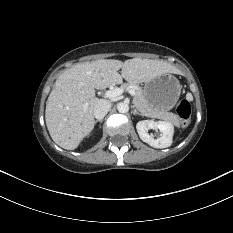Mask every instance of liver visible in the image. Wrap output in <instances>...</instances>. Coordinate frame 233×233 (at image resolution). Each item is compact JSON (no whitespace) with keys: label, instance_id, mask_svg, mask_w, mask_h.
<instances>
[{"label":"liver","instance_id":"liver-1","mask_svg":"<svg viewBox=\"0 0 233 233\" xmlns=\"http://www.w3.org/2000/svg\"><path fill=\"white\" fill-rule=\"evenodd\" d=\"M121 69V74L118 71ZM179 70L163 60L133 58L124 62L99 59L77 64L56 80L46 102L45 121L52 140L74 150L93 130L94 107L99 99L95 89L121 84L123 78L136 85Z\"/></svg>","mask_w":233,"mask_h":233}]
</instances>
